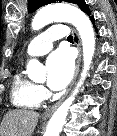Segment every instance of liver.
Returning a JSON list of instances; mask_svg holds the SVG:
<instances>
[{
    "label": "liver",
    "instance_id": "1",
    "mask_svg": "<svg viewBox=\"0 0 117 136\" xmlns=\"http://www.w3.org/2000/svg\"><path fill=\"white\" fill-rule=\"evenodd\" d=\"M39 118V113L28 109L9 111L3 118L0 136H31Z\"/></svg>",
    "mask_w": 117,
    "mask_h": 136
}]
</instances>
